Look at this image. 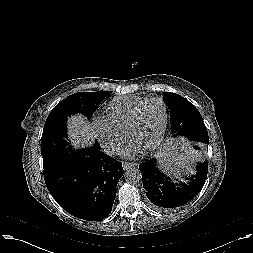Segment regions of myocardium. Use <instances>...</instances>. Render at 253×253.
<instances>
[{"instance_id":"myocardium-1","label":"myocardium","mask_w":253,"mask_h":253,"mask_svg":"<svg viewBox=\"0 0 253 253\" xmlns=\"http://www.w3.org/2000/svg\"><path fill=\"white\" fill-rule=\"evenodd\" d=\"M154 101H159L163 104L164 110H165V118H164V123H163L162 129H161L157 139L150 146H148L146 148L147 151H153L156 148H158L160 146V144L162 143L165 133L167 131L168 122H169V107H168V104L165 101V99H163L161 97H152V98H148L146 101H144L134 112V114L127 126L126 132H125L126 136L128 138H130L132 131L135 129V127L138 123V120L140 118L142 111L144 110V108L148 104H150L151 102H154Z\"/></svg>"}]
</instances>
